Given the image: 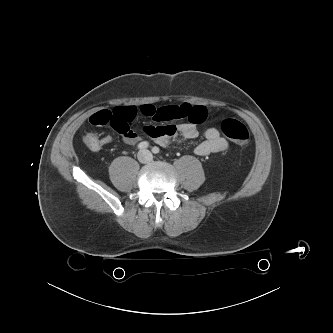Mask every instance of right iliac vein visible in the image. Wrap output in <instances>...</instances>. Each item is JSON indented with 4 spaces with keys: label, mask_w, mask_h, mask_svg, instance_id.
<instances>
[{
    "label": "right iliac vein",
    "mask_w": 333,
    "mask_h": 333,
    "mask_svg": "<svg viewBox=\"0 0 333 333\" xmlns=\"http://www.w3.org/2000/svg\"><path fill=\"white\" fill-rule=\"evenodd\" d=\"M137 157H138V160L142 163L146 161V153L143 151L139 152Z\"/></svg>",
    "instance_id": "1"
}]
</instances>
